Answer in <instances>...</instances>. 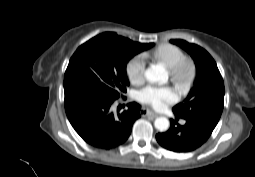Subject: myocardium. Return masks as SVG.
<instances>
[{
	"label": "myocardium",
	"instance_id": "obj_1",
	"mask_svg": "<svg viewBox=\"0 0 255 177\" xmlns=\"http://www.w3.org/2000/svg\"><path fill=\"white\" fill-rule=\"evenodd\" d=\"M172 80L179 87L186 86L193 75V64L190 59L184 58L173 67L169 68Z\"/></svg>",
	"mask_w": 255,
	"mask_h": 177
}]
</instances>
